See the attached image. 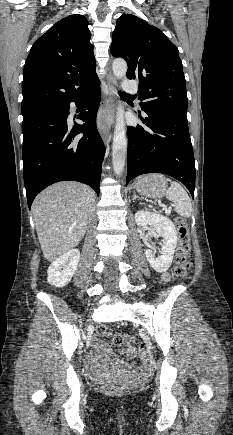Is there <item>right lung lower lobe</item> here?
I'll return each mask as SVG.
<instances>
[{
    "label": "right lung lower lobe",
    "instance_id": "obj_1",
    "mask_svg": "<svg viewBox=\"0 0 233 435\" xmlns=\"http://www.w3.org/2000/svg\"><path fill=\"white\" fill-rule=\"evenodd\" d=\"M101 89L98 76L89 80L68 102L23 122V176L28 206L47 186L65 180L91 186L99 195L105 146L96 127ZM81 106L84 124L69 128L70 103ZM79 133L84 136L72 142Z\"/></svg>",
    "mask_w": 233,
    "mask_h": 435
}]
</instances>
